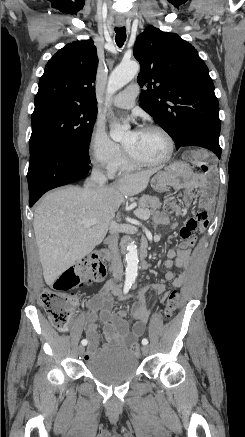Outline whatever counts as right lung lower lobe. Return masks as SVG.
<instances>
[{
	"instance_id": "1",
	"label": "right lung lower lobe",
	"mask_w": 245,
	"mask_h": 437,
	"mask_svg": "<svg viewBox=\"0 0 245 437\" xmlns=\"http://www.w3.org/2000/svg\"><path fill=\"white\" fill-rule=\"evenodd\" d=\"M89 163L88 152H69L50 144L39 147L30 155L27 174L30 206L50 189L85 178Z\"/></svg>"
}]
</instances>
